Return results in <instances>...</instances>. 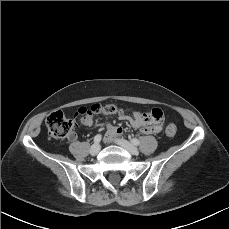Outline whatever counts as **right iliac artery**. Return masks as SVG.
Returning a JSON list of instances; mask_svg holds the SVG:
<instances>
[{
    "label": "right iliac artery",
    "mask_w": 229,
    "mask_h": 229,
    "mask_svg": "<svg viewBox=\"0 0 229 229\" xmlns=\"http://www.w3.org/2000/svg\"><path fill=\"white\" fill-rule=\"evenodd\" d=\"M102 139V136L100 134H97L95 137H94V142L95 143H99Z\"/></svg>",
    "instance_id": "82829eb1"
}]
</instances>
